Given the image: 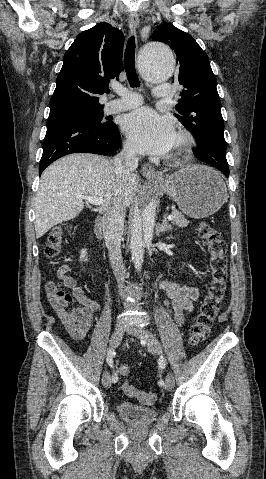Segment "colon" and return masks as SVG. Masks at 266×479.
Returning a JSON list of instances; mask_svg holds the SVG:
<instances>
[{
    "label": "colon",
    "instance_id": "colon-1",
    "mask_svg": "<svg viewBox=\"0 0 266 479\" xmlns=\"http://www.w3.org/2000/svg\"><path fill=\"white\" fill-rule=\"evenodd\" d=\"M197 234L209 255L211 277L206 294L199 304L190 328V343L193 346H198L205 340L224 298L227 282L226 242L221 238L219 232L206 221L198 223ZM61 243L62 230L56 227L48 237L45 249L47 256L57 257L61 251ZM119 373L121 376L127 377L130 370L128 366H121ZM122 390L145 405H151L156 401L154 393L140 391L127 382L122 384Z\"/></svg>",
    "mask_w": 266,
    "mask_h": 479
}]
</instances>
